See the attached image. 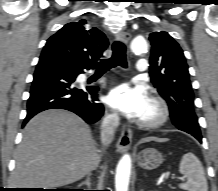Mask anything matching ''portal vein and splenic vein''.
<instances>
[{"label":"portal vein and splenic vein","mask_w":218,"mask_h":191,"mask_svg":"<svg viewBox=\"0 0 218 191\" xmlns=\"http://www.w3.org/2000/svg\"><path fill=\"white\" fill-rule=\"evenodd\" d=\"M166 178H168V176H166ZM171 179L183 180L184 178H182V177H177V176H171Z\"/></svg>","instance_id":"obj_1"}]
</instances>
